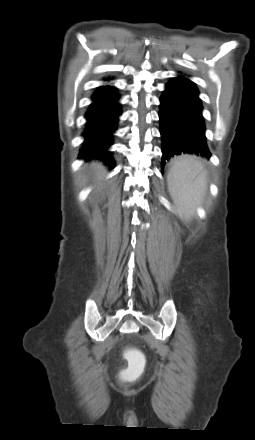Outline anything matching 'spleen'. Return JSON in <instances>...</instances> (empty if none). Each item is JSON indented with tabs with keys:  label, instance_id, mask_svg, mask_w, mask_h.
<instances>
[{
	"label": "spleen",
	"instance_id": "3e777b00",
	"mask_svg": "<svg viewBox=\"0 0 255 440\" xmlns=\"http://www.w3.org/2000/svg\"><path fill=\"white\" fill-rule=\"evenodd\" d=\"M206 171L193 156L183 155L171 161L168 175L170 193L178 210L186 220L194 215L195 206L201 200L206 187Z\"/></svg>",
	"mask_w": 255,
	"mask_h": 440
}]
</instances>
